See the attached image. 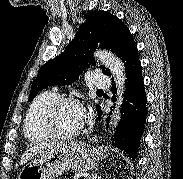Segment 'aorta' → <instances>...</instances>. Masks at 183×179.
<instances>
[{
    "label": "aorta",
    "instance_id": "aorta-1",
    "mask_svg": "<svg viewBox=\"0 0 183 179\" xmlns=\"http://www.w3.org/2000/svg\"><path fill=\"white\" fill-rule=\"evenodd\" d=\"M94 56L110 70L115 78L117 87V100L115 102L114 112L110 121V128L114 130L120 120V109L123 103L122 95L125 91L126 74L124 65L116 55L106 50H98L94 53Z\"/></svg>",
    "mask_w": 183,
    "mask_h": 179
}]
</instances>
